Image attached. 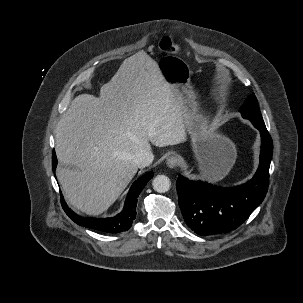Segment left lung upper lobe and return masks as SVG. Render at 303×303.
<instances>
[{
    "label": "left lung upper lobe",
    "instance_id": "obj_1",
    "mask_svg": "<svg viewBox=\"0 0 303 303\" xmlns=\"http://www.w3.org/2000/svg\"><path fill=\"white\" fill-rule=\"evenodd\" d=\"M240 112L243 118L265 125L254 94L246 99L244 105L240 108Z\"/></svg>",
    "mask_w": 303,
    "mask_h": 303
}]
</instances>
